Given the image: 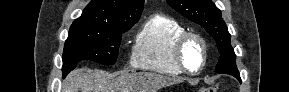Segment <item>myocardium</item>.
Here are the masks:
<instances>
[{"mask_svg": "<svg viewBox=\"0 0 289 92\" xmlns=\"http://www.w3.org/2000/svg\"><path fill=\"white\" fill-rule=\"evenodd\" d=\"M195 40L197 41L202 48V62L198 69L196 70H190L184 62L183 59V51L184 47L187 44L188 41ZM174 56L175 60L177 62V65L179 68L187 74L190 75H196L199 74L206 66L207 60H208V46L206 40L198 33L195 32H184L179 36V38L176 40L175 46H174Z\"/></svg>", "mask_w": 289, "mask_h": 92, "instance_id": "1", "label": "myocardium"}]
</instances>
